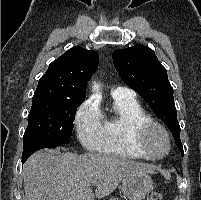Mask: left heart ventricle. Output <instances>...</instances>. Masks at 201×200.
<instances>
[{"label": "left heart ventricle", "mask_w": 201, "mask_h": 200, "mask_svg": "<svg viewBox=\"0 0 201 200\" xmlns=\"http://www.w3.org/2000/svg\"><path fill=\"white\" fill-rule=\"evenodd\" d=\"M146 145L150 155L159 157L167 150V140L165 135L157 128H152L146 135Z\"/></svg>", "instance_id": "1"}]
</instances>
